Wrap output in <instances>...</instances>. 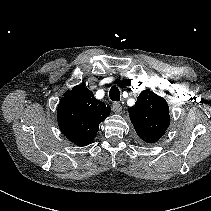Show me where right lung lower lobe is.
<instances>
[{"mask_svg":"<svg viewBox=\"0 0 211 211\" xmlns=\"http://www.w3.org/2000/svg\"><path fill=\"white\" fill-rule=\"evenodd\" d=\"M67 112H66V105L64 103H59L58 107V122L60 125H64L69 121L67 118Z\"/></svg>","mask_w":211,"mask_h":211,"instance_id":"98d812e1","label":"right lung lower lobe"}]
</instances>
